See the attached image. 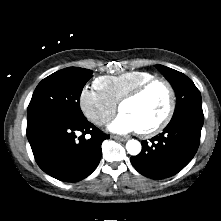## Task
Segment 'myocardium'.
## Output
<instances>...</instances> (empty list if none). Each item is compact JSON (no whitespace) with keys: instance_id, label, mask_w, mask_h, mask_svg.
I'll return each mask as SVG.
<instances>
[{"instance_id":"1","label":"myocardium","mask_w":221,"mask_h":221,"mask_svg":"<svg viewBox=\"0 0 221 221\" xmlns=\"http://www.w3.org/2000/svg\"><path fill=\"white\" fill-rule=\"evenodd\" d=\"M156 84H161L166 89V91L168 93V105H167V109H166V112H165L163 118L158 123H156L155 125L147 128V129L139 130V133L142 136H146V137L153 136V135L161 132L162 130H164L167 127V125L172 120V117H173L174 111H175V107H176V95H175V91H174V88L171 85V83L165 78L154 77V78L142 83L141 85L137 86L136 88H134L132 91L127 93L125 96H123L122 99L119 101V110L121 111L123 104L141 97L152 86H154Z\"/></svg>"}]
</instances>
